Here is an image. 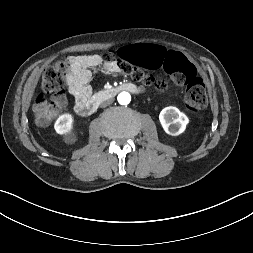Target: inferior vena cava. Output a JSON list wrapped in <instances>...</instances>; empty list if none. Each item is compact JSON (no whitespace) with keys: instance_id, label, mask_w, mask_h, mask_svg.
<instances>
[{"instance_id":"1","label":"inferior vena cava","mask_w":253,"mask_h":253,"mask_svg":"<svg viewBox=\"0 0 253 253\" xmlns=\"http://www.w3.org/2000/svg\"><path fill=\"white\" fill-rule=\"evenodd\" d=\"M112 102H113V99H108V100H106V101H104V102L101 103V107H103V108L107 107L110 104H112Z\"/></svg>"}]
</instances>
